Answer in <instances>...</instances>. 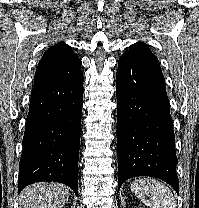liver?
Listing matches in <instances>:
<instances>
[{"mask_svg": "<svg viewBox=\"0 0 199 208\" xmlns=\"http://www.w3.org/2000/svg\"><path fill=\"white\" fill-rule=\"evenodd\" d=\"M70 196L61 183H36L27 186L20 195V208H62Z\"/></svg>", "mask_w": 199, "mask_h": 208, "instance_id": "1", "label": "liver"}]
</instances>
